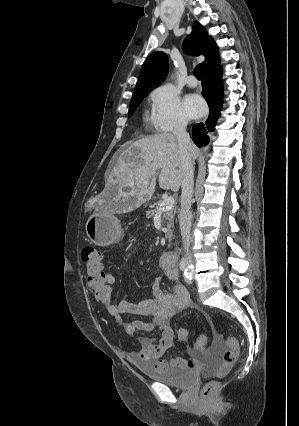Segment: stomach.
<instances>
[{"mask_svg":"<svg viewBox=\"0 0 299 426\" xmlns=\"http://www.w3.org/2000/svg\"><path fill=\"white\" fill-rule=\"evenodd\" d=\"M86 234L98 246H109L123 237V227L120 220L106 211L94 212L87 220Z\"/></svg>","mask_w":299,"mask_h":426,"instance_id":"0dacf381","label":"stomach"}]
</instances>
